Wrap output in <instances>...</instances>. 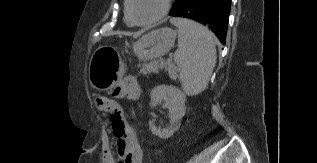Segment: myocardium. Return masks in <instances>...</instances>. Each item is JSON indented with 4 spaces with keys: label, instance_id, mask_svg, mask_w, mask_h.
Instances as JSON below:
<instances>
[{
    "label": "myocardium",
    "instance_id": "obj_1",
    "mask_svg": "<svg viewBox=\"0 0 317 163\" xmlns=\"http://www.w3.org/2000/svg\"><path fill=\"white\" fill-rule=\"evenodd\" d=\"M162 3L163 4H162L161 12L157 16H155L154 18L149 19V20L139 21L133 16L132 0H126L127 14H128V17H129L131 23L134 25H137V26H149V25H153V24L159 22L169 13V11L171 9V0H163Z\"/></svg>",
    "mask_w": 317,
    "mask_h": 163
}]
</instances>
